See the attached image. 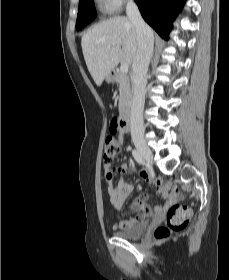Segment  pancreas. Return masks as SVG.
<instances>
[{
    "label": "pancreas",
    "mask_w": 229,
    "mask_h": 280,
    "mask_svg": "<svg viewBox=\"0 0 229 280\" xmlns=\"http://www.w3.org/2000/svg\"><path fill=\"white\" fill-rule=\"evenodd\" d=\"M119 84V111L122 113L125 108L129 105L132 98V87L130 78L125 73H119L117 77Z\"/></svg>",
    "instance_id": "cf45deb5"
}]
</instances>
